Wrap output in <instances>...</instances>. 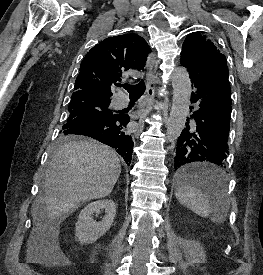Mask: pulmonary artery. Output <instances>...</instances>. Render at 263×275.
I'll return each mask as SVG.
<instances>
[{"mask_svg": "<svg viewBox=\"0 0 263 275\" xmlns=\"http://www.w3.org/2000/svg\"><path fill=\"white\" fill-rule=\"evenodd\" d=\"M128 104V97L125 94H118L114 98L113 105L116 108H123Z\"/></svg>", "mask_w": 263, "mask_h": 275, "instance_id": "pulmonary-artery-1", "label": "pulmonary artery"}]
</instances>
